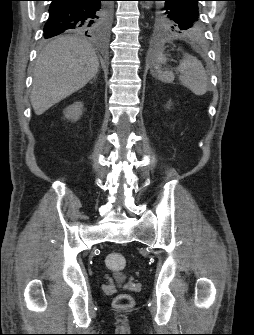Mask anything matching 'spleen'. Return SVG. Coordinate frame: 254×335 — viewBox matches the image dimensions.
I'll return each instance as SVG.
<instances>
[{"label":"spleen","mask_w":254,"mask_h":335,"mask_svg":"<svg viewBox=\"0 0 254 335\" xmlns=\"http://www.w3.org/2000/svg\"><path fill=\"white\" fill-rule=\"evenodd\" d=\"M154 68L161 81L165 83H172L174 81V73L172 71H162L159 61H155ZM176 70L180 73L178 79L181 84L187 87L192 93L201 96L207 92V73L201 61L196 57L185 54Z\"/></svg>","instance_id":"spleen-1"}]
</instances>
